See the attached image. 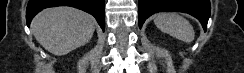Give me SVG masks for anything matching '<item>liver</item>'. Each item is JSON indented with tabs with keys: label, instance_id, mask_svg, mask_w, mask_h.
<instances>
[{
	"label": "liver",
	"instance_id": "liver-1",
	"mask_svg": "<svg viewBox=\"0 0 244 73\" xmlns=\"http://www.w3.org/2000/svg\"><path fill=\"white\" fill-rule=\"evenodd\" d=\"M95 19L79 9L59 6L41 11L32 21L36 40L53 55L62 56L88 43Z\"/></svg>",
	"mask_w": 244,
	"mask_h": 73
}]
</instances>
